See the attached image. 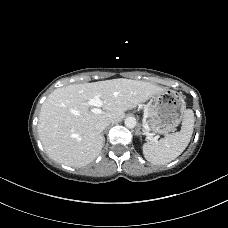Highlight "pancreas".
Returning <instances> with one entry per match:
<instances>
[{"instance_id": "pancreas-1", "label": "pancreas", "mask_w": 228, "mask_h": 228, "mask_svg": "<svg viewBox=\"0 0 228 228\" xmlns=\"http://www.w3.org/2000/svg\"><path fill=\"white\" fill-rule=\"evenodd\" d=\"M145 116L150 118V121L154 118L155 116V111L152 107L148 106L145 108Z\"/></svg>"}]
</instances>
